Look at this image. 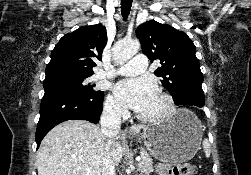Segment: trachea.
<instances>
[{
	"instance_id": "obj_1",
	"label": "trachea",
	"mask_w": 251,
	"mask_h": 175,
	"mask_svg": "<svg viewBox=\"0 0 251 175\" xmlns=\"http://www.w3.org/2000/svg\"><path fill=\"white\" fill-rule=\"evenodd\" d=\"M132 1L133 0H121V14L124 21H126L129 16Z\"/></svg>"
}]
</instances>
